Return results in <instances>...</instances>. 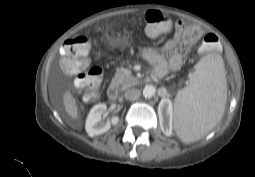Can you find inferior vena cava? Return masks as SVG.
I'll return each mask as SVG.
<instances>
[{
    "label": "inferior vena cava",
    "instance_id": "obj_1",
    "mask_svg": "<svg viewBox=\"0 0 255 177\" xmlns=\"http://www.w3.org/2000/svg\"><path fill=\"white\" fill-rule=\"evenodd\" d=\"M141 95V92L140 90L138 89H135V88H132V89H129L125 92L124 96H125V99L127 100H135V99H138Z\"/></svg>",
    "mask_w": 255,
    "mask_h": 177
}]
</instances>
